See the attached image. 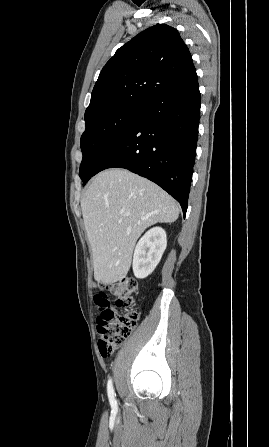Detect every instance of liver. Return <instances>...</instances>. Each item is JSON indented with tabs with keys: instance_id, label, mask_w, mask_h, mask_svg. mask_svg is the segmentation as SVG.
<instances>
[{
	"instance_id": "liver-1",
	"label": "liver",
	"mask_w": 269,
	"mask_h": 447,
	"mask_svg": "<svg viewBox=\"0 0 269 447\" xmlns=\"http://www.w3.org/2000/svg\"><path fill=\"white\" fill-rule=\"evenodd\" d=\"M85 229L90 241L94 277L115 283L131 265L134 245L149 225L175 222L179 208L162 188L112 168L93 178L81 200Z\"/></svg>"
}]
</instances>
